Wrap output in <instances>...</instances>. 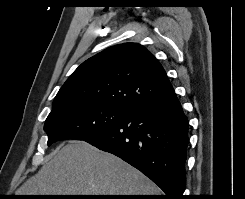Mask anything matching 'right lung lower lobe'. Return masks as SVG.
<instances>
[{
	"mask_svg": "<svg viewBox=\"0 0 245 199\" xmlns=\"http://www.w3.org/2000/svg\"><path fill=\"white\" fill-rule=\"evenodd\" d=\"M188 127L173 92L129 110L117 124L85 141L140 170L165 192V199H183Z\"/></svg>",
	"mask_w": 245,
	"mask_h": 199,
	"instance_id": "1",
	"label": "right lung lower lobe"
}]
</instances>
